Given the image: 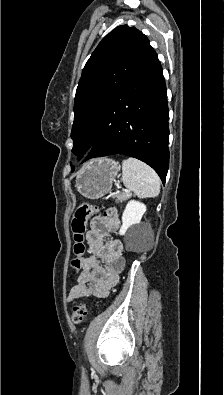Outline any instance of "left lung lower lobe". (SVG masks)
<instances>
[{
    "label": "left lung lower lobe",
    "instance_id": "1",
    "mask_svg": "<svg viewBox=\"0 0 224 395\" xmlns=\"http://www.w3.org/2000/svg\"><path fill=\"white\" fill-rule=\"evenodd\" d=\"M168 114L162 67L154 51L103 112L92 150L84 161L124 154L147 163L165 183Z\"/></svg>",
    "mask_w": 224,
    "mask_h": 395
}]
</instances>
